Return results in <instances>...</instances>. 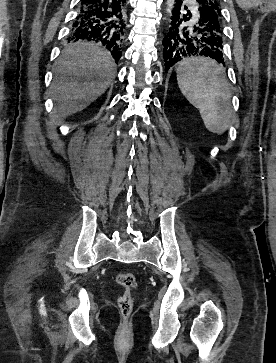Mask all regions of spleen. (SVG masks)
<instances>
[{
  "label": "spleen",
  "mask_w": 276,
  "mask_h": 363,
  "mask_svg": "<svg viewBox=\"0 0 276 363\" xmlns=\"http://www.w3.org/2000/svg\"><path fill=\"white\" fill-rule=\"evenodd\" d=\"M178 86L199 110L205 127L223 134L231 118L230 85L224 68L207 57L185 59L176 70Z\"/></svg>",
  "instance_id": "3e777b00"
}]
</instances>
